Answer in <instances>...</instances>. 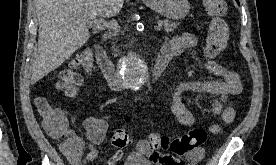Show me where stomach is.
<instances>
[{
	"label": "stomach",
	"mask_w": 276,
	"mask_h": 165,
	"mask_svg": "<svg viewBox=\"0 0 276 165\" xmlns=\"http://www.w3.org/2000/svg\"><path fill=\"white\" fill-rule=\"evenodd\" d=\"M154 11L169 19L179 20L184 18L189 10L188 0H143Z\"/></svg>",
	"instance_id": "obj_1"
}]
</instances>
